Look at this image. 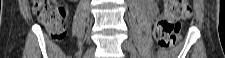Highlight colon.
I'll use <instances>...</instances> for the list:
<instances>
[{"label": "colon", "mask_w": 225, "mask_h": 58, "mask_svg": "<svg viewBox=\"0 0 225 58\" xmlns=\"http://www.w3.org/2000/svg\"><path fill=\"white\" fill-rule=\"evenodd\" d=\"M34 14L54 41H60L68 26L67 10L58 0L34 1ZM192 9L189 0H167L162 14L154 25V38L164 49L173 47L179 41L182 21L188 19Z\"/></svg>", "instance_id": "1"}]
</instances>
